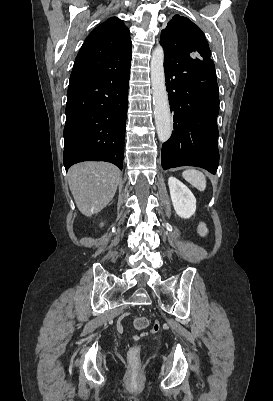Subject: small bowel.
<instances>
[{"label":"small bowel","mask_w":273,"mask_h":401,"mask_svg":"<svg viewBox=\"0 0 273 401\" xmlns=\"http://www.w3.org/2000/svg\"><path fill=\"white\" fill-rule=\"evenodd\" d=\"M124 317L126 319H131L133 317V312L131 310H126L124 312ZM139 319H141V317H137L135 319V321H138ZM122 320H123L122 316H119L118 318L115 319V324H116V327L118 328L117 331L121 335L126 332V329L123 327ZM152 326H153V328L150 329L151 333L156 335V334H159L161 332L160 328H161L162 325H161V320L159 318H156L154 320V323H153ZM139 335H140L141 338L144 339V338H147L149 336V333L147 331L143 330V331L140 332Z\"/></svg>","instance_id":"c3829d8e"}]
</instances>
